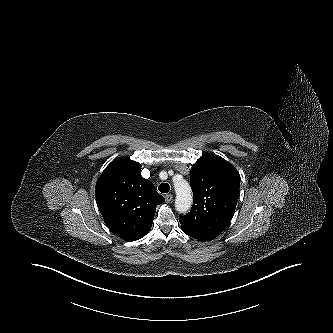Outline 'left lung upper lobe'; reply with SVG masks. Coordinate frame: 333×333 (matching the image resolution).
Listing matches in <instances>:
<instances>
[{"label":"left lung upper lobe","mask_w":333,"mask_h":333,"mask_svg":"<svg viewBox=\"0 0 333 333\" xmlns=\"http://www.w3.org/2000/svg\"><path fill=\"white\" fill-rule=\"evenodd\" d=\"M194 199L182 229L205 239L217 237L230 223L240 195V175L235 167L214 154H205L191 168Z\"/></svg>","instance_id":"5c2ea615"}]
</instances>
